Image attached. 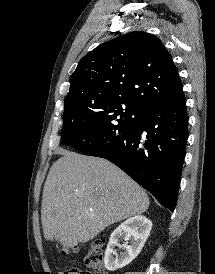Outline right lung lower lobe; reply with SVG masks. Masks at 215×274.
I'll return each instance as SVG.
<instances>
[{
	"instance_id": "obj_1",
	"label": "right lung lower lobe",
	"mask_w": 215,
	"mask_h": 274,
	"mask_svg": "<svg viewBox=\"0 0 215 274\" xmlns=\"http://www.w3.org/2000/svg\"><path fill=\"white\" fill-rule=\"evenodd\" d=\"M188 138L185 97L142 109L138 121L85 155L110 160L174 211Z\"/></svg>"
}]
</instances>
